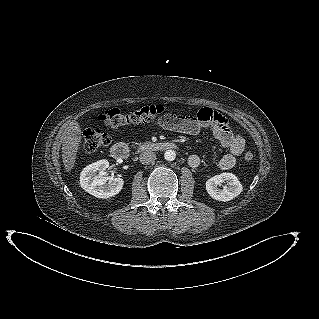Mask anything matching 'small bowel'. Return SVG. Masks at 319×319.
I'll return each mask as SVG.
<instances>
[{
  "label": "small bowel",
  "instance_id": "obj_1",
  "mask_svg": "<svg viewBox=\"0 0 319 319\" xmlns=\"http://www.w3.org/2000/svg\"><path fill=\"white\" fill-rule=\"evenodd\" d=\"M157 123L170 131L192 136L198 135L204 129L210 130L219 144L228 150L218 162L222 170L233 168L237 157L245 149L244 138L231 128L222 115L210 108L201 109L197 116L174 115L159 119ZM188 164L192 168H197L201 164V158L197 154H192L188 158Z\"/></svg>",
  "mask_w": 319,
  "mask_h": 319
}]
</instances>
